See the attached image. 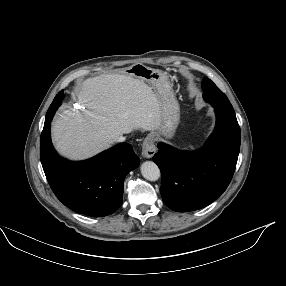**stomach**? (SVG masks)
Wrapping results in <instances>:
<instances>
[{
  "instance_id": "obj_1",
  "label": "stomach",
  "mask_w": 286,
  "mask_h": 286,
  "mask_svg": "<svg viewBox=\"0 0 286 286\" xmlns=\"http://www.w3.org/2000/svg\"><path fill=\"white\" fill-rule=\"evenodd\" d=\"M125 74L149 84L159 97L162 123L159 132L151 133V136L172 138L179 123L180 110L167 73L136 63L128 67Z\"/></svg>"
}]
</instances>
